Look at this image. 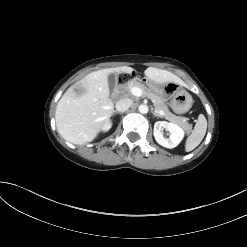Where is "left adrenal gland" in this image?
I'll list each match as a JSON object with an SVG mask.
<instances>
[{"instance_id":"obj_1","label":"left adrenal gland","mask_w":247,"mask_h":247,"mask_svg":"<svg viewBox=\"0 0 247 247\" xmlns=\"http://www.w3.org/2000/svg\"><path fill=\"white\" fill-rule=\"evenodd\" d=\"M152 113H153L154 116H157V117H161V118H162V116L159 115V114H158L156 111H154L153 109H152Z\"/></svg>"}]
</instances>
